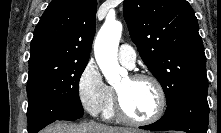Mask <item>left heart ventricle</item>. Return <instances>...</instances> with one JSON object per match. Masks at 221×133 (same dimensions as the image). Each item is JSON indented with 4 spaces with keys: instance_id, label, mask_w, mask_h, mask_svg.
Listing matches in <instances>:
<instances>
[{
    "instance_id": "1",
    "label": "left heart ventricle",
    "mask_w": 221,
    "mask_h": 133,
    "mask_svg": "<svg viewBox=\"0 0 221 133\" xmlns=\"http://www.w3.org/2000/svg\"><path fill=\"white\" fill-rule=\"evenodd\" d=\"M116 89L121 95L125 112L136 119L151 117L158 107V95L154 85L147 80L133 81L125 77Z\"/></svg>"
}]
</instances>
